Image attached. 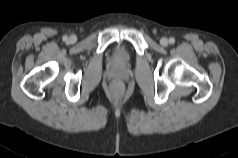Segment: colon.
<instances>
[{"label": "colon", "mask_w": 238, "mask_h": 158, "mask_svg": "<svg viewBox=\"0 0 238 158\" xmlns=\"http://www.w3.org/2000/svg\"><path fill=\"white\" fill-rule=\"evenodd\" d=\"M124 88L121 82L115 81L111 85L110 92L114 97H121L123 94Z\"/></svg>", "instance_id": "5ec220e1"}]
</instances>
